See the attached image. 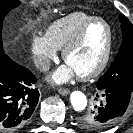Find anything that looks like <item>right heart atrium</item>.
Segmentation results:
<instances>
[{
    "label": "right heart atrium",
    "mask_w": 133,
    "mask_h": 133,
    "mask_svg": "<svg viewBox=\"0 0 133 133\" xmlns=\"http://www.w3.org/2000/svg\"><path fill=\"white\" fill-rule=\"evenodd\" d=\"M30 50L35 65L41 71L47 70L50 62L57 58V50L49 43L44 35L36 34L32 36Z\"/></svg>",
    "instance_id": "d8ad5b80"
}]
</instances>
